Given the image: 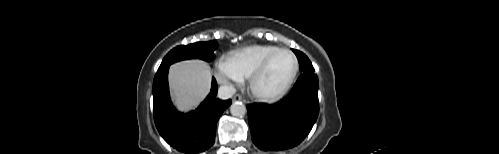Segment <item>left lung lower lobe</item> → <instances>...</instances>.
Segmentation results:
<instances>
[{"instance_id": "obj_1", "label": "left lung lower lobe", "mask_w": 499, "mask_h": 154, "mask_svg": "<svg viewBox=\"0 0 499 154\" xmlns=\"http://www.w3.org/2000/svg\"><path fill=\"white\" fill-rule=\"evenodd\" d=\"M253 143L264 151H280L300 144L319 113L318 77L303 72L290 93L273 105L249 104Z\"/></svg>"}]
</instances>
